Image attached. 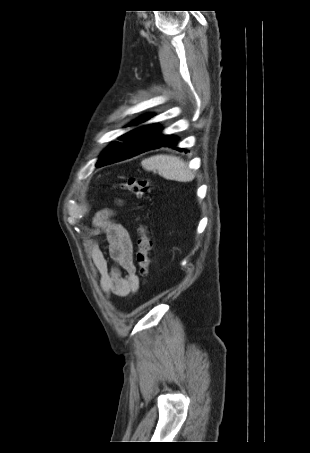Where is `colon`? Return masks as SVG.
Wrapping results in <instances>:
<instances>
[{"label": "colon", "mask_w": 310, "mask_h": 453, "mask_svg": "<svg viewBox=\"0 0 310 453\" xmlns=\"http://www.w3.org/2000/svg\"><path fill=\"white\" fill-rule=\"evenodd\" d=\"M119 188L123 191H127L137 197H142L148 194L153 186L152 183L144 178H130L125 182L119 184ZM138 231V242H137V253L136 261L139 268V273L143 277H147L150 271L151 259L150 251L152 249V239L148 234L147 228L140 224L137 228Z\"/></svg>", "instance_id": "5ec220e1"}]
</instances>
